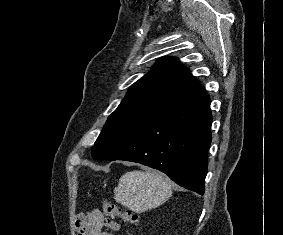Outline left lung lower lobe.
Returning a JSON list of instances; mask_svg holds the SVG:
<instances>
[{
	"mask_svg": "<svg viewBox=\"0 0 283 235\" xmlns=\"http://www.w3.org/2000/svg\"><path fill=\"white\" fill-rule=\"evenodd\" d=\"M210 98L203 87L140 129L106 160L144 164L178 185L203 194L211 143Z\"/></svg>",
	"mask_w": 283,
	"mask_h": 235,
	"instance_id": "1",
	"label": "left lung lower lobe"
}]
</instances>
